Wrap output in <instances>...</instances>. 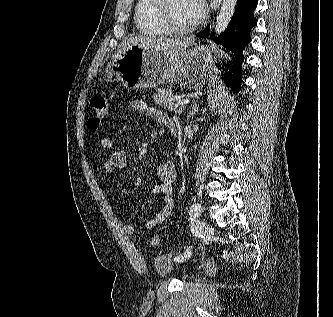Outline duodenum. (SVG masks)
Instances as JSON below:
<instances>
[{
	"instance_id": "obj_1",
	"label": "duodenum",
	"mask_w": 333,
	"mask_h": 317,
	"mask_svg": "<svg viewBox=\"0 0 333 317\" xmlns=\"http://www.w3.org/2000/svg\"><path fill=\"white\" fill-rule=\"evenodd\" d=\"M167 127L169 128L170 132L173 135H176V133H177V127H176V125H175V123L173 121L168 122Z\"/></svg>"
}]
</instances>
